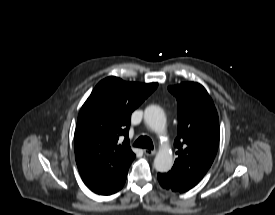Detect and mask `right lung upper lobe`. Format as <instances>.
I'll use <instances>...</instances> for the list:
<instances>
[{"instance_id": "right-lung-upper-lobe-1", "label": "right lung upper lobe", "mask_w": 275, "mask_h": 215, "mask_svg": "<svg viewBox=\"0 0 275 215\" xmlns=\"http://www.w3.org/2000/svg\"><path fill=\"white\" fill-rule=\"evenodd\" d=\"M157 86L114 76L96 85L79 112L74 135L75 159L85 184L120 174L130 166L135 158L128 139L131 113Z\"/></svg>"}]
</instances>
